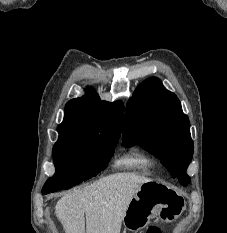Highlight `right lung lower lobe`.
<instances>
[{
  "label": "right lung lower lobe",
  "instance_id": "obj_1",
  "mask_svg": "<svg viewBox=\"0 0 227 233\" xmlns=\"http://www.w3.org/2000/svg\"><path fill=\"white\" fill-rule=\"evenodd\" d=\"M42 194H43V195H45V194H48V193H46V192H43Z\"/></svg>",
  "mask_w": 227,
  "mask_h": 233
}]
</instances>
